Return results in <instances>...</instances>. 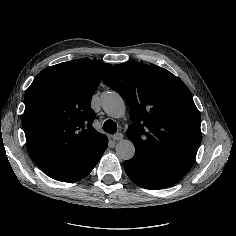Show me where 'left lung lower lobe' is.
I'll list each match as a JSON object with an SVG mask.
<instances>
[{"mask_svg": "<svg viewBox=\"0 0 236 236\" xmlns=\"http://www.w3.org/2000/svg\"><path fill=\"white\" fill-rule=\"evenodd\" d=\"M124 169L134 183L146 189H164L183 178L165 165L138 152L124 162Z\"/></svg>", "mask_w": 236, "mask_h": 236, "instance_id": "0a47b994", "label": "left lung lower lobe"}]
</instances>
